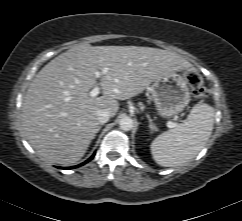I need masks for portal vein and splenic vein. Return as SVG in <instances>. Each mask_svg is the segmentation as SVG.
Instances as JSON below:
<instances>
[{"label": "portal vein and splenic vein", "mask_w": 242, "mask_h": 221, "mask_svg": "<svg viewBox=\"0 0 242 221\" xmlns=\"http://www.w3.org/2000/svg\"><path fill=\"white\" fill-rule=\"evenodd\" d=\"M107 70H108V68H104V69L102 70V73L107 72ZM95 75H96L97 77H99V76L101 75V72H100V71H97V72H95ZM99 93H100V87H99V86H96V87H94V88L90 91V96H91V97H96ZM167 126H168L169 128H173V127L176 126V124H175L174 122L169 121V122L167 123Z\"/></svg>", "instance_id": "18ae733b"}]
</instances>
